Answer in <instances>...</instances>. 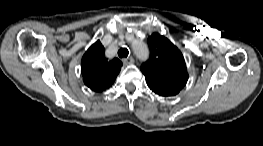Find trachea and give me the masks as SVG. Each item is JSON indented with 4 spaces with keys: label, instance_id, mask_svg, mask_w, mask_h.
<instances>
[{
    "label": "trachea",
    "instance_id": "trachea-1",
    "mask_svg": "<svg viewBox=\"0 0 263 146\" xmlns=\"http://www.w3.org/2000/svg\"><path fill=\"white\" fill-rule=\"evenodd\" d=\"M129 55V51L127 48H121L119 51H118V56L120 58L122 57H127Z\"/></svg>",
    "mask_w": 263,
    "mask_h": 146
}]
</instances>
